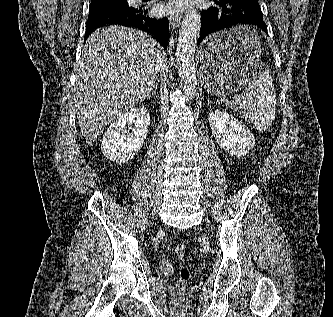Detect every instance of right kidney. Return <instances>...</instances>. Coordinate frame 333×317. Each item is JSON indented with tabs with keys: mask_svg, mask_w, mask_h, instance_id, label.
<instances>
[{
	"mask_svg": "<svg viewBox=\"0 0 333 317\" xmlns=\"http://www.w3.org/2000/svg\"><path fill=\"white\" fill-rule=\"evenodd\" d=\"M135 124L132 134H125L126 124ZM150 124L149 111L137 107L117 117L105 132L101 151L110 161L124 163L133 159L143 146Z\"/></svg>",
	"mask_w": 333,
	"mask_h": 317,
	"instance_id": "right-kidney-1",
	"label": "right kidney"
}]
</instances>
